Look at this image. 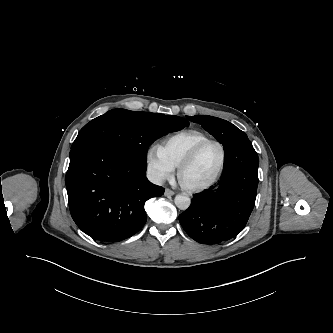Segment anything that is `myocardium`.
I'll return each instance as SVG.
<instances>
[{
	"label": "myocardium",
	"instance_id": "f54148a6",
	"mask_svg": "<svg viewBox=\"0 0 333 333\" xmlns=\"http://www.w3.org/2000/svg\"><path fill=\"white\" fill-rule=\"evenodd\" d=\"M209 144H214L216 145L219 150H220V154H221V158H220V163L218 165L217 170L215 171V173L213 174V176L206 182L202 183V184H198V185H189L186 184L183 181L182 175L184 170L193 163V161L196 159L197 155L199 154V152L207 145ZM225 162H226V150L223 146V144L221 142H219L218 140L215 139H207L204 140L200 143H198L187 155L186 157L181 161V163L178 166V170H177V177L179 180V183L181 185V187L188 191V192H200V191H204L208 188H210L211 186H213L217 180L220 178L224 167H225Z\"/></svg>",
	"mask_w": 333,
	"mask_h": 333
}]
</instances>
